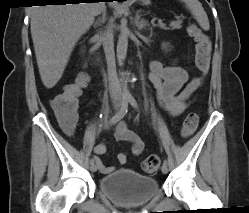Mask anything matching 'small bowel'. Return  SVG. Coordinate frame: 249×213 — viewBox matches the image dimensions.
I'll return each instance as SVG.
<instances>
[{
  "label": "small bowel",
  "mask_w": 249,
  "mask_h": 213,
  "mask_svg": "<svg viewBox=\"0 0 249 213\" xmlns=\"http://www.w3.org/2000/svg\"><path fill=\"white\" fill-rule=\"evenodd\" d=\"M149 79L156 89L158 104L171 117H177L187 109L190 98L199 88V80L197 78L189 80L186 68L178 65L166 67L157 60H153L150 63ZM76 123L77 119L73 125L61 122V126L66 133L72 134ZM114 136L116 140L124 141L131 145L132 155L139 156L143 153V140L138 134L129 129L126 122L121 121L115 126ZM93 152L99 170L104 174L112 172L114 168L104 165L100 159V155L106 152V146L103 143H99L94 146ZM117 161L119 164H125L127 154L124 152L119 153Z\"/></svg>",
  "instance_id": "1"
}]
</instances>
